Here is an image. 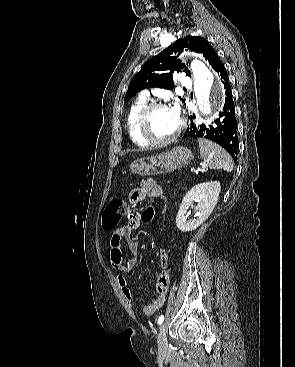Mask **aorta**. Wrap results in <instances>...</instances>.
Masks as SVG:
<instances>
[{
	"instance_id": "762f6f07",
	"label": "aorta",
	"mask_w": 295,
	"mask_h": 367,
	"mask_svg": "<svg viewBox=\"0 0 295 367\" xmlns=\"http://www.w3.org/2000/svg\"><path fill=\"white\" fill-rule=\"evenodd\" d=\"M194 91L197 104L204 115L222 107L225 99L224 87L219 78L201 61L191 63Z\"/></svg>"
}]
</instances>
